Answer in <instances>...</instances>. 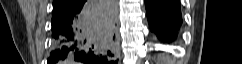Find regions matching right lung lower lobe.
<instances>
[{"label":"right lung lower lobe","instance_id":"right-lung-lower-lobe-1","mask_svg":"<svg viewBox=\"0 0 242 64\" xmlns=\"http://www.w3.org/2000/svg\"><path fill=\"white\" fill-rule=\"evenodd\" d=\"M116 0H75L53 13L52 51L47 64L76 61L115 64Z\"/></svg>","mask_w":242,"mask_h":64}]
</instances>
